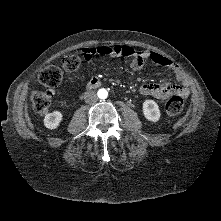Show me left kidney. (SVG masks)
Here are the masks:
<instances>
[{"label":"left kidney","mask_w":221,"mask_h":221,"mask_svg":"<svg viewBox=\"0 0 221 221\" xmlns=\"http://www.w3.org/2000/svg\"><path fill=\"white\" fill-rule=\"evenodd\" d=\"M143 114L148 121L157 122L161 113L158 104L154 100H145L143 102Z\"/></svg>","instance_id":"1"}]
</instances>
